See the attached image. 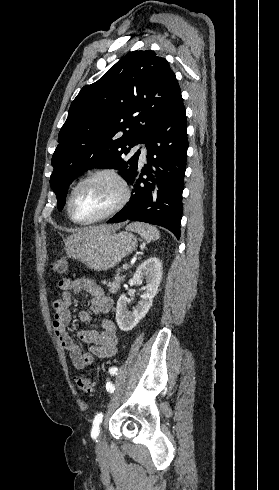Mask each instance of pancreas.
Returning <instances> with one entry per match:
<instances>
[{"label":"pancreas","mask_w":279,"mask_h":490,"mask_svg":"<svg viewBox=\"0 0 279 490\" xmlns=\"http://www.w3.org/2000/svg\"><path fill=\"white\" fill-rule=\"evenodd\" d=\"M120 272H122V270H120L119 268L117 272V276H115L114 282H104V284H107L108 288H110V292H117L120 286V282L121 280H123L122 276H119Z\"/></svg>","instance_id":"pancreas-1"}]
</instances>
